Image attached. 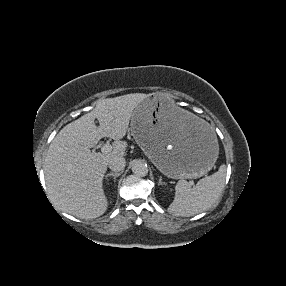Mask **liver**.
<instances>
[{
    "instance_id": "obj_1",
    "label": "liver",
    "mask_w": 286,
    "mask_h": 286,
    "mask_svg": "<svg viewBox=\"0 0 286 286\" xmlns=\"http://www.w3.org/2000/svg\"><path fill=\"white\" fill-rule=\"evenodd\" d=\"M147 95L135 93L100 99L96 108L67 124L52 140L44 160L47 192L62 211L80 219L91 220L103 215L108 201L103 177L114 156H125L127 143L121 141L137 105ZM189 118L190 114L185 113ZM95 119L99 126L95 125ZM103 137L115 142L112 151L92 152Z\"/></svg>"
}]
</instances>
